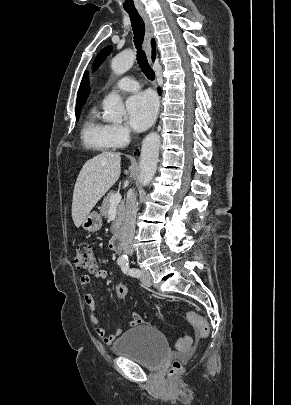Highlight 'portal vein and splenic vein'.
I'll return each mask as SVG.
<instances>
[{
  "label": "portal vein and splenic vein",
  "mask_w": 291,
  "mask_h": 405,
  "mask_svg": "<svg viewBox=\"0 0 291 405\" xmlns=\"http://www.w3.org/2000/svg\"><path fill=\"white\" fill-rule=\"evenodd\" d=\"M121 194L120 193H115L111 196L110 198V205L111 206H116L119 204V202L121 201Z\"/></svg>",
  "instance_id": "18ae733b"
}]
</instances>
